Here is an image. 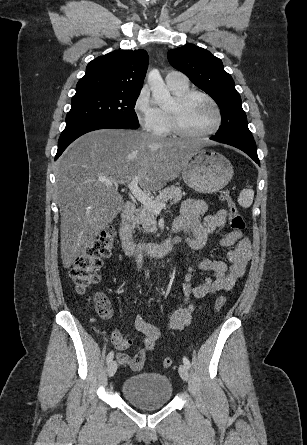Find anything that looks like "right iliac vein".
Here are the masks:
<instances>
[{"instance_id": "1", "label": "right iliac vein", "mask_w": 307, "mask_h": 445, "mask_svg": "<svg viewBox=\"0 0 307 445\" xmlns=\"http://www.w3.org/2000/svg\"><path fill=\"white\" fill-rule=\"evenodd\" d=\"M117 371V363L116 361H111L107 368V373L109 377H112Z\"/></svg>"}]
</instances>
